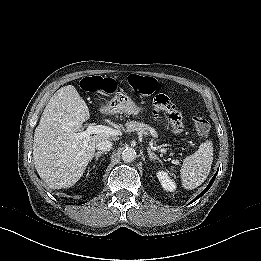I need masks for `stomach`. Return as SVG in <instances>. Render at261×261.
<instances>
[{"mask_svg": "<svg viewBox=\"0 0 261 261\" xmlns=\"http://www.w3.org/2000/svg\"><path fill=\"white\" fill-rule=\"evenodd\" d=\"M108 108L109 110L132 116H138L143 111L141 106H138L130 97L123 93H119L112 98Z\"/></svg>", "mask_w": 261, "mask_h": 261, "instance_id": "0dacf381", "label": "stomach"}]
</instances>
